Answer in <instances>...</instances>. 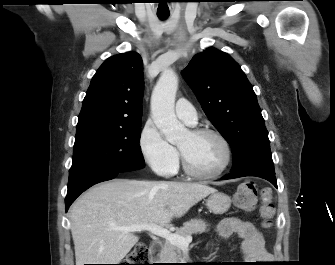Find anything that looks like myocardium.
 <instances>
[{
    "mask_svg": "<svg viewBox=\"0 0 335 265\" xmlns=\"http://www.w3.org/2000/svg\"><path fill=\"white\" fill-rule=\"evenodd\" d=\"M190 133L193 136L196 137H201V136H214L215 138H217L223 148H224V152H225V156H224V161L221 164V166L214 172L211 173H201L198 172L196 170H194L188 163V161L186 160L183 152L181 151V149L179 148V152H180V157H181V163H182V168L184 170V172L195 179H199V180H212V179H216L218 177H220L229 167L231 160H232V148L231 145L229 143V141L227 140V138L221 134L220 132L213 130V129H208V128H200V129H194L191 130Z\"/></svg>",
    "mask_w": 335,
    "mask_h": 265,
    "instance_id": "f54148a6",
    "label": "myocardium"
}]
</instances>
